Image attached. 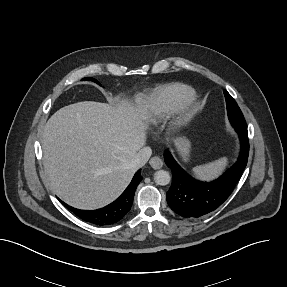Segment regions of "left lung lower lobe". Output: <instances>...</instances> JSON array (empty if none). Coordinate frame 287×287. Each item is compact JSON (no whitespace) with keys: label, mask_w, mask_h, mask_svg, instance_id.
Instances as JSON below:
<instances>
[{"label":"left lung lower lobe","mask_w":287,"mask_h":287,"mask_svg":"<svg viewBox=\"0 0 287 287\" xmlns=\"http://www.w3.org/2000/svg\"><path fill=\"white\" fill-rule=\"evenodd\" d=\"M239 134L241 142L237 162L222 176L212 182H202L185 172L167 150L164 153L166 165L172 172V185L166 194L170 208L184 218H199L217 209L232 193L249 155V141L246 123H231Z\"/></svg>","instance_id":"obj_1"}]
</instances>
